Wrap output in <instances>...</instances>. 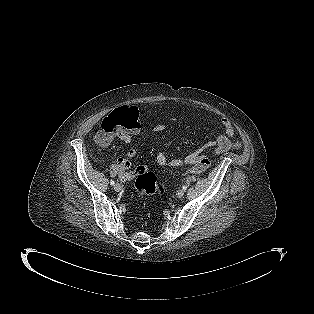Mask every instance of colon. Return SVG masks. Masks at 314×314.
<instances>
[{
  "instance_id": "colon-1",
  "label": "colon",
  "mask_w": 314,
  "mask_h": 314,
  "mask_svg": "<svg viewBox=\"0 0 314 314\" xmlns=\"http://www.w3.org/2000/svg\"><path fill=\"white\" fill-rule=\"evenodd\" d=\"M137 110L132 106H123L101 122L96 135L97 142H105L115 133L129 132L140 127ZM211 165L207 157H201L189 170V173H202ZM135 187L141 195L162 194L164 187L159 183L157 176L147 167L140 166L137 169Z\"/></svg>"
}]
</instances>
